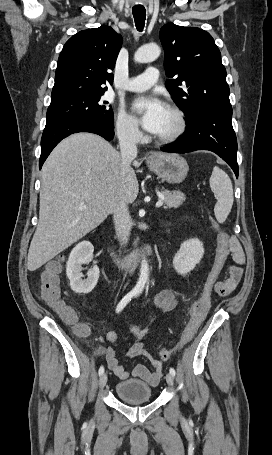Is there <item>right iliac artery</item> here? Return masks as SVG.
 Here are the masks:
<instances>
[{"mask_svg":"<svg viewBox=\"0 0 272 455\" xmlns=\"http://www.w3.org/2000/svg\"><path fill=\"white\" fill-rule=\"evenodd\" d=\"M135 293L134 292H129L127 293L123 299L119 302V304L116 307V312L119 313L120 311L123 310V308L131 301V299L134 297ZM99 375L101 376L104 373V367L101 366L99 368Z\"/></svg>","mask_w":272,"mask_h":455,"instance_id":"82829eb1","label":"right iliac artery"}]
</instances>
